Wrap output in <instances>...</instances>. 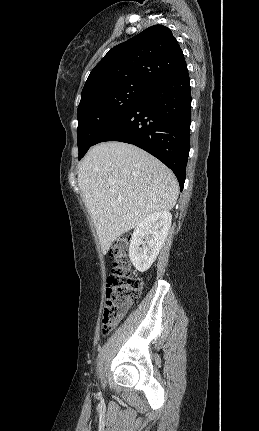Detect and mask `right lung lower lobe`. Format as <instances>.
<instances>
[{
  "mask_svg": "<svg viewBox=\"0 0 259 431\" xmlns=\"http://www.w3.org/2000/svg\"><path fill=\"white\" fill-rule=\"evenodd\" d=\"M190 112L186 69L149 88L98 136L95 144L120 141L144 149L174 172L182 190L190 150Z\"/></svg>",
  "mask_w": 259,
  "mask_h": 431,
  "instance_id": "98d812e1",
  "label": "right lung lower lobe"
}]
</instances>
